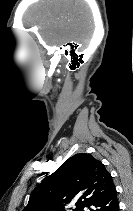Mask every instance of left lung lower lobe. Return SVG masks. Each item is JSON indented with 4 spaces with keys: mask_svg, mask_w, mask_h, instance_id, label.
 Returning <instances> with one entry per match:
<instances>
[{
    "mask_svg": "<svg viewBox=\"0 0 133 211\" xmlns=\"http://www.w3.org/2000/svg\"><path fill=\"white\" fill-rule=\"evenodd\" d=\"M91 211H119L115 186L101 200L94 204Z\"/></svg>",
    "mask_w": 133,
    "mask_h": 211,
    "instance_id": "obj_1",
    "label": "left lung lower lobe"
}]
</instances>
